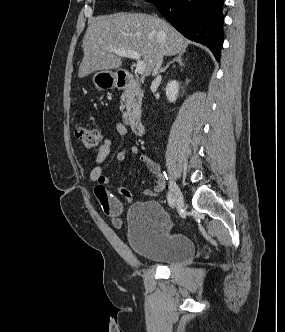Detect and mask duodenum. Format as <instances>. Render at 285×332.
<instances>
[{"instance_id": "1", "label": "duodenum", "mask_w": 285, "mask_h": 332, "mask_svg": "<svg viewBox=\"0 0 285 332\" xmlns=\"http://www.w3.org/2000/svg\"><path fill=\"white\" fill-rule=\"evenodd\" d=\"M117 85L119 89L126 90L128 92H133L137 83L134 76L130 72H121L117 77ZM131 130L137 135H144L146 128L144 123L139 118H133L130 121Z\"/></svg>"}]
</instances>
